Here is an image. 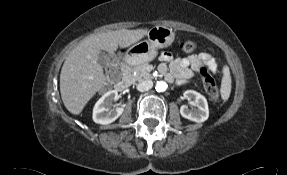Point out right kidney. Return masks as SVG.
<instances>
[{"label":"right kidney","mask_w":287,"mask_h":175,"mask_svg":"<svg viewBox=\"0 0 287 175\" xmlns=\"http://www.w3.org/2000/svg\"><path fill=\"white\" fill-rule=\"evenodd\" d=\"M118 98V92L111 90L105 93L93 108V121L98 124H109L114 122L124 111V106L110 110L113 101Z\"/></svg>","instance_id":"right-kidney-1"}]
</instances>
